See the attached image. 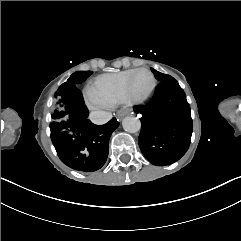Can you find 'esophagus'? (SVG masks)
<instances>
[{"mask_svg":"<svg viewBox=\"0 0 241 241\" xmlns=\"http://www.w3.org/2000/svg\"><path fill=\"white\" fill-rule=\"evenodd\" d=\"M132 113V109H126L118 113L117 117L121 120L124 116Z\"/></svg>","mask_w":241,"mask_h":241,"instance_id":"obj_1","label":"esophagus"}]
</instances>
